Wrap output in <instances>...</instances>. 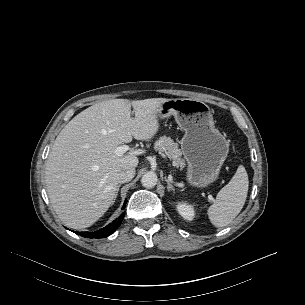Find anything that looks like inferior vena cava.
Instances as JSON below:
<instances>
[{
  "label": "inferior vena cava",
  "mask_w": 305,
  "mask_h": 305,
  "mask_svg": "<svg viewBox=\"0 0 305 305\" xmlns=\"http://www.w3.org/2000/svg\"><path fill=\"white\" fill-rule=\"evenodd\" d=\"M135 175L134 167H124L117 173V182L126 183L133 179Z\"/></svg>",
  "instance_id": "inferior-vena-cava-1"
}]
</instances>
